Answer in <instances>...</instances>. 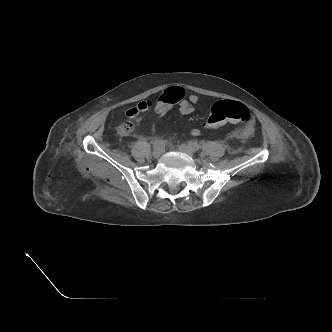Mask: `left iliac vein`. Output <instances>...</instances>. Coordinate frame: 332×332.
Masks as SVG:
<instances>
[{
    "label": "left iliac vein",
    "instance_id": "left-iliac-vein-1",
    "mask_svg": "<svg viewBox=\"0 0 332 332\" xmlns=\"http://www.w3.org/2000/svg\"><path fill=\"white\" fill-rule=\"evenodd\" d=\"M179 150L188 154V155H193L194 150L189 144H181L179 146Z\"/></svg>",
    "mask_w": 332,
    "mask_h": 332
}]
</instances>
